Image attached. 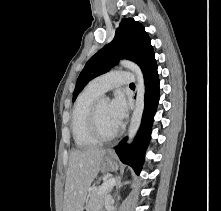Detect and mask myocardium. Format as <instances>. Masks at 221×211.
<instances>
[{
    "label": "myocardium",
    "mask_w": 221,
    "mask_h": 211,
    "mask_svg": "<svg viewBox=\"0 0 221 211\" xmlns=\"http://www.w3.org/2000/svg\"><path fill=\"white\" fill-rule=\"evenodd\" d=\"M102 100L103 99L99 98L93 103L88 116V128L92 137L98 142H108L117 138L120 135V130L118 129L116 132L110 135H106L101 131L98 119V111Z\"/></svg>",
    "instance_id": "f54148a6"
}]
</instances>
